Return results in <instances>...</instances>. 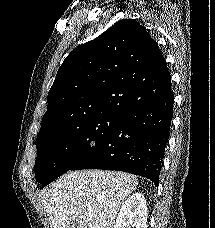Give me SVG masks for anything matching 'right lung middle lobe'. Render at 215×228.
Instances as JSON below:
<instances>
[{"label":"right lung middle lobe","mask_w":215,"mask_h":228,"mask_svg":"<svg viewBox=\"0 0 215 228\" xmlns=\"http://www.w3.org/2000/svg\"><path fill=\"white\" fill-rule=\"evenodd\" d=\"M117 114H100L46 128L36 139V179L46 186L69 171L121 121Z\"/></svg>","instance_id":"dd1d6c3e"}]
</instances>
